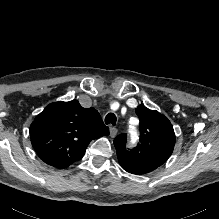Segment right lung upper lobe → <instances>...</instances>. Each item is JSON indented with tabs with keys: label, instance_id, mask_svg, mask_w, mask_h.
I'll use <instances>...</instances> for the list:
<instances>
[{
	"label": "right lung upper lobe",
	"instance_id": "right-lung-upper-lobe-1",
	"mask_svg": "<svg viewBox=\"0 0 219 219\" xmlns=\"http://www.w3.org/2000/svg\"><path fill=\"white\" fill-rule=\"evenodd\" d=\"M108 134L98 111L83 108L77 100L49 104L30 126L39 158L60 169L81 159L91 140Z\"/></svg>",
	"mask_w": 219,
	"mask_h": 219
}]
</instances>
